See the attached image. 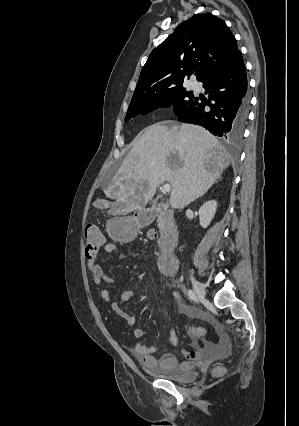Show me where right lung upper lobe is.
<instances>
[{
  "mask_svg": "<svg viewBox=\"0 0 299 426\" xmlns=\"http://www.w3.org/2000/svg\"><path fill=\"white\" fill-rule=\"evenodd\" d=\"M239 52L223 20L211 13L196 14L151 52L131 101L182 85L194 71L202 81L228 65Z\"/></svg>",
  "mask_w": 299,
  "mask_h": 426,
  "instance_id": "obj_1",
  "label": "right lung upper lobe"
}]
</instances>
